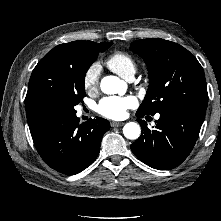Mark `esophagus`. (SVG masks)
Listing matches in <instances>:
<instances>
[{
    "label": "esophagus",
    "instance_id": "34e87169",
    "mask_svg": "<svg viewBox=\"0 0 221 221\" xmlns=\"http://www.w3.org/2000/svg\"><path fill=\"white\" fill-rule=\"evenodd\" d=\"M124 125V122H111V127H120Z\"/></svg>",
    "mask_w": 221,
    "mask_h": 221
}]
</instances>
